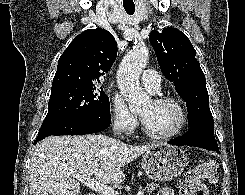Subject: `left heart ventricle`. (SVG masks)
Returning <instances> with one entry per match:
<instances>
[{
    "label": "left heart ventricle",
    "mask_w": 245,
    "mask_h": 195,
    "mask_svg": "<svg viewBox=\"0 0 245 195\" xmlns=\"http://www.w3.org/2000/svg\"><path fill=\"white\" fill-rule=\"evenodd\" d=\"M144 124L153 133L162 134L174 130L180 122L178 109L170 104L147 103L140 111Z\"/></svg>",
    "instance_id": "1"
}]
</instances>
